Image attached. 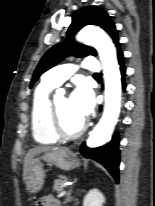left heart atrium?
Wrapping results in <instances>:
<instances>
[{
	"instance_id": "39dd6f15",
	"label": "left heart atrium",
	"mask_w": 155,
	"mask_h": 206,
	"mask_svg": "<svg viewBox=\"0 0 155 206\" xmlns=\"http://www.w3.org/2000/svg\"><path fill=\"white\" fill-rule=\"evenodd\" d=\"M75 114L84 120L91 112L93 98L90 89L85 84H79L69 98Z\"/></svg>"
}]
</instances>
